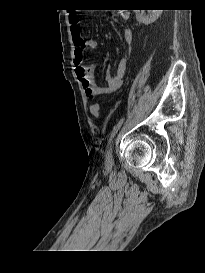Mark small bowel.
Listing matches in <instances>:
<instances>
[{
    "label": "small bowel",
    "mask_w": 205,
    "mask_h": 273,
    "mask_svg": "<svg viewBox=\"0 0 205 273\" xmlns=\"http://www.w3.org/2000/svg\"><path fill=\"white\" fill-rule=\"evenodd\" d=\"M121 18L127 19L128 14L122 13ZM79 21L80 17L77 14L69 15V23L71 25L72 41L74 46L73 60L75 64L76 76L81 82L83 89L88 97L94 98L97 96L110 94L116 91L122 85L127 66V58H122L119 61L115 75H111L109 73L106 75L105 85H98L94 79L95 65H83L84 51L86 49L96 50L98 48V42L94 39H82L78 28ZM123 40L128 46L132 44L133 34L129 28L124 29Z\"/></svg>",
    "instance_id": "1"
}]
</instances>
